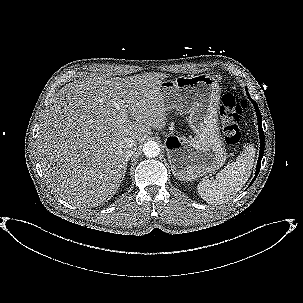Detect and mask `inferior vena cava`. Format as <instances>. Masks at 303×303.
<instances>
[{
    "instance_id": "inferior-vena-cava-1",
    "label": "inferior vena cava",
    "mask_w": 303,
    "mask_h": 303,
    "mask_svg": "<svg viewBox=\"0 0 303 303\" xmlns=\"http://www.w3.org/2000/svg\"><path fill=\"white\" fill-rule=\"evenodd\" d=\"M121 147L123 149L125 157L129 158L136 151L137 146L136 142L133 139L126 137L122 140Z\"/></svg>"
}]
</instances>
